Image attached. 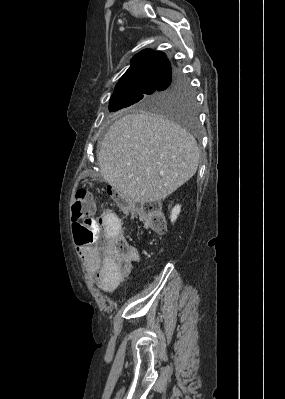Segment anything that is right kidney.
<instances>
[{
  "instance_id": "1",
  "label": "right kidney",
  "mask_w": 285,
  "mask_h": 399,
  "mask_svg": "<svg viewBox=\"0 0 285 399\" xmlns=\"http://www.w3.org/2000/svg\"><path fill=\"white\" fill-rule=\"evenodd\" d=\"M180 211H181V206H180V205H176V206L172 209L171 215H170L171 222L176 221L178 215L180 214Z\"/></svg>"
}]
</instances>
